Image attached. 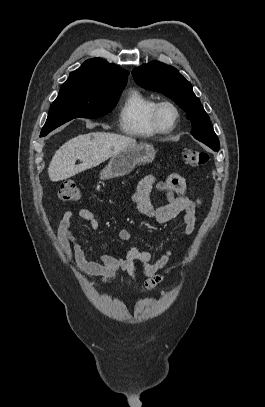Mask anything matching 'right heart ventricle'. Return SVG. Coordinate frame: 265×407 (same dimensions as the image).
<instances>
[{
    "label": "right heart ventricle",
    "mask_w": 265,
    "mask_h": 407,
    "mask_svg": "<svg viewBox=\"0 0 265 407\" xmlns=\"http://www.w3.org/2000/svg\"><path fill=\"white\" fill-rule=\"evenodd\" d=\"M156 100L137 89H131L125 96L119 110L120 127L124 133L139 138L153 137L156 130L152 113Z\"/></svg>",
    "instance_id": "1"
}]
</instances>
